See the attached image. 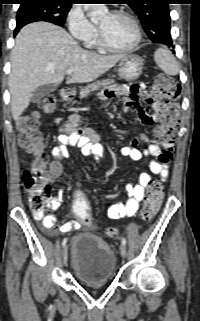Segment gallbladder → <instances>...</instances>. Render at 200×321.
Listing matches in <instances>:
<instances>
[{
	"label": "gallbladder",
	"mask_w": 200,
	"mask_h": 321,
	"mask_svg": "<svg viewBox=\"0 0 200 321\" xmlns=\"http://www.w3.org/2000/svg\"><path fill=\"white\" fill-rule=\"evenodd\" d=\"M55 89H56V85H52V84H46L38 87L32 94L31 102L32 103L40 102L45 96L53 92Z\"/></svg>",
	"instance_id": "bac80fb5"
}]
</instances>
